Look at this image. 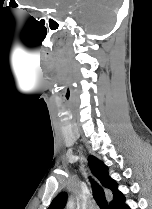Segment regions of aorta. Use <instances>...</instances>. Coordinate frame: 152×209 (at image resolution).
Listing matches in <instances>:
<instances>
[{
	"instance_id": "aorta-1",
	"label": "aorta",
	"mask_w": 152,
	"mask_h": 209,
	"mask_svg": "<svg viewBox=\"0 0 152 209\" xmlns=\"http://www.w3.org/2000/svg\"><path fill=\"white\" fill-rule=\"evenodd\" d=\"M74 208H75V203H74L73 199L71 198L68 200L66 209H74Z\"/></svg>"
}]
</instances>
